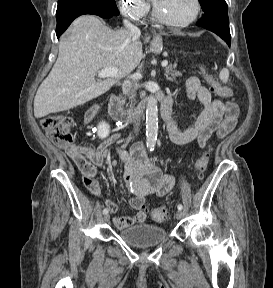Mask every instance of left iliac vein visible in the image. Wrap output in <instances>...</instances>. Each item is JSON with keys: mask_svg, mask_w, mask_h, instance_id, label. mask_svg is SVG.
Instances as JSON below:
<instances>
[{"mask_svg": "<svg viewBox=\"0 0 273 288\" xmlns=\"http://www.w3.org/2000/svg\"><path fill=\"white\" fill-rule=\"evenodd\" d=\"M175 217L176 219H181L183 217V212L181 210H178L176 213H175Z\"/></svg>", "mask_w": 273, "mask_h": 288, "instance_id": "left-iliac-vein-1", "label": "left iliac vein"}]
</instances>
